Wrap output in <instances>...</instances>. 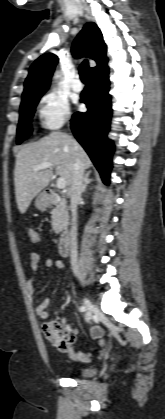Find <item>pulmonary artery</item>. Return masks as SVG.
Returning a JSON list of instances; mask_svg holds the SVG:
<instances>
[{
	"instance_id": "pulmonary-artery-1",
	"label": "pulmonary artery",
	"mask_w": 165,
	"mask_h": 419,
	"mask_svg": "<svg viewBox=\"0 0 165 419\" xmlns=\"http://www.w3.org/2000/svg\"><path fill=\"white\" fill-rule=\"evenodd\" d=\"M72 89L74 91H76V92L81 91V89H82V83L80 81L79 75H76L75 76V79H74V81L72 83Z\"/></svg>"
}]
</instances>
